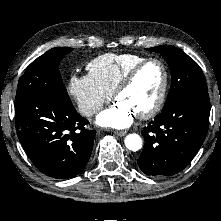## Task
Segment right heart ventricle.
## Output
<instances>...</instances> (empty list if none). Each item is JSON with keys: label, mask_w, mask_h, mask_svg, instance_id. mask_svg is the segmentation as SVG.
I'll list each match as a JSON object with an SVG mask.
<instances>
[{"label": "right heart ventricle", "mask_w": 221, "mask_h": 221, "mask_svg": "<svg viewBox=\"0 0 221 221\" xmlns=\"http://www.w3.org/2000/svg\"><path fill=\"white\" fill-rule=\"evenodd\" d=\"M145 59V56L138 54L106 53L89 62L87 69L89 74L112 94L127 72Z\"/></svg>", "instance_id": "obj_1"}]
</instances>
